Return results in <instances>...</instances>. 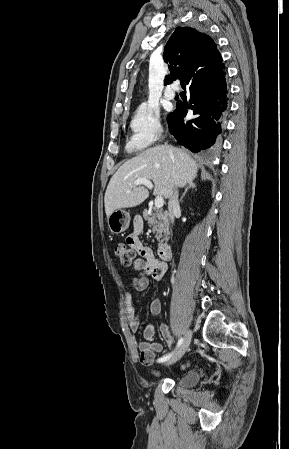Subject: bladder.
<instances>
[{"instance_id":"31cf9c89","label":"bladder","mask_w":289,"mask_h":449,"mask_svg":"<svg viewBox=\"0 0 289 449\" xmlns=\"http://www.w3.org/2000/svg\"><path fill=\"white\" fill-rule=\"evenodd\" d=\"M201 377V373L197 371L189 372L178 379L177 385L180 387H191L195 385Z\"/></svg>"}]
</instances>
